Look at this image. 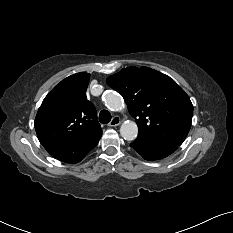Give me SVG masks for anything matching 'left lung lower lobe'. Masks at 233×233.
I'll return each instance as SVG.
<instances>
[{
  "label": "left lung lower lobe",
  "instance_id": "obj_1",
  "mask_svg": "<svg viewBox=\"0 0 233 233\" xmlns=\"http://www.w3.org/2000/svg\"><path fill=\"white\" fill-rule=\"evenodd\" d=\"M130 146L146 160H159L172 154L178 145L158 140L137 137Z\"/></svg>",
  "mask_w": 233,
  "mask_h": 233
}]
</instances>
